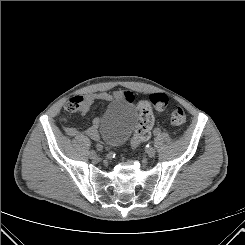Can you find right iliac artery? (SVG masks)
<instances>
[{"label":"right iliac artery","mask_w":245,"mask_h":245,"mask_svg":"<svg viewBox=\"0 0 245 245\" xmlns=\"http://www.w3.org/2000/svg\"><path fill=\"white\" fill-rule=\"evenodd\" d=\"M95 148L98 149L100 152H103L104 151V148L99 143H96L95 144Z\"/></svg>","instance_id":"obj_1"}]
</instances>
